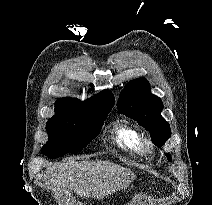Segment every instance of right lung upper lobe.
I'll return each instance as SVG.
<instances>
[{
  "label": "right lung upper lobe",
  "instance_id": "1",
  "mask_svg": "<svg viewBox=\"0 0 212 205\" xmlns=\"http://www.w3.org/2000/svg\"><path fill=\"white\" fill-rule=\"evenodd\" d=\"M115 99L111 91L104 90L99 94L92 96L91 98L81 101L76 98H60L56 101L55 104V116H61L65 112L74 110V109H89L102 106H112L114 105Z\"/></svg>",
  "mask_w": 212,
  "mask_h": 205
}]
</instances>
